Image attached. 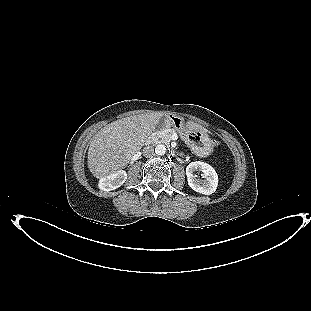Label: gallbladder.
<instances>
[{"label": "gallbladder", "mask_w": 311, "mask_h": 311, "mask_svg": "<svg viewBox=\"0 0 311 311\" xmlns=\"http://www.w3.org/2000/svg\"><path fill=\"white\" fill-rule=\"evenodd\" d=\"M165 122H166L165 117H162V118L159 120V123L157 124V126H158V127H161V126H163V125L165 124Z\"/></svg>", "instance_id": "obj_1"}]
</instances>
